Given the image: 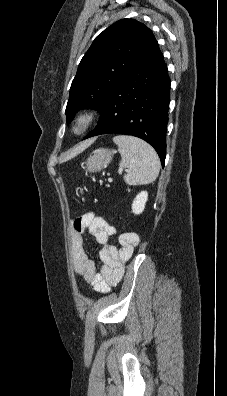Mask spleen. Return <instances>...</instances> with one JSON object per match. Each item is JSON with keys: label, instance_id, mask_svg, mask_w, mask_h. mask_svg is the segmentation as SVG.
<instances>
[{"label": "spleen", "instance_id": "spleen-1", "mask_svg": "<svg viewBox=\"0 0 227 396\" xmlns=\"http://www.w3.org/2000/svg\"><path fill=\"white\" fill-rule=\"evenodd\" d=\"M121 154L120 167L127 168L124 180L129 185L149 184L156 180L160 160L156 151L145 141L126 135L113 138Z\"/></svg>", "mask_w": 227, "mask_h": 396}]
</instances>
